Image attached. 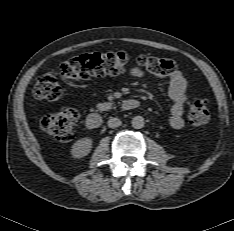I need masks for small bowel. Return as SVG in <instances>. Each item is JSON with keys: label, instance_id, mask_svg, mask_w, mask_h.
Listing matches in <instances>:
<instances>
[{"label": "small bowel", "instance_id": "c3829d8e", "mask_svg": "<svg viewBox=\"0 0 234 231\" xmlns=\"http://www.w3.org/2000/svg\"><path fill=\"white\" fill-rule=\"evenodd\" d=\"M132 77H141L144 72L138 68L130 70ZM168 95L172 101L169 123L173 129H181L184 126V107L187 101V84L183 74L176 71L170 78Z\"/></svg>", "mask_w": 234, "mask_h": 231}]
</instances>
